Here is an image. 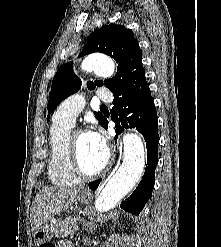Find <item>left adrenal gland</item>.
Segmentation results:
<instances>
[{"instance_id": "1", "label": "left adrenal gland", "mask_w": 221, "mask_h": 247, "mask_svg": "<svg viewBox=\"0 0 221 247\" xmlns=\"http://www.w3.org/2000/svg\"><path fill=\"white\" fill-rule=\"evenodd\" d=\"M89 231H91V233H93V228H92V227H90V228H89Z\"/></svg>"}]
</instances>
